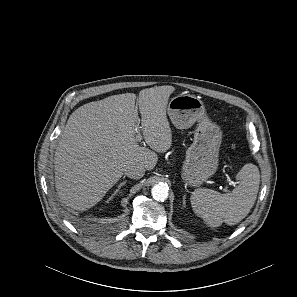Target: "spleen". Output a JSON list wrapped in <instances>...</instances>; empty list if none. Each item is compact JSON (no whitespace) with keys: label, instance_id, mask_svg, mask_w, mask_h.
I'll return each mask as SVG.
<instances>
[{"label":"spleen","instance_id":"spleen-1","mask_svg":"<svg viewBox=\"0 0 297 297\" xmlns=\"http://www.w3.org/2000/svg\"><path fill=\"white\" fill-rule=\"evenodd\" d=\"M236 178L239 185L230 193L219 194L212 189L200 188L191 195L193 211L210 227H219L222 223L235 225L253 207L260 183L258 167L252 163L245 164Z\"/></svg>","mask_w":297,"mask_h":297}]
</instances>
